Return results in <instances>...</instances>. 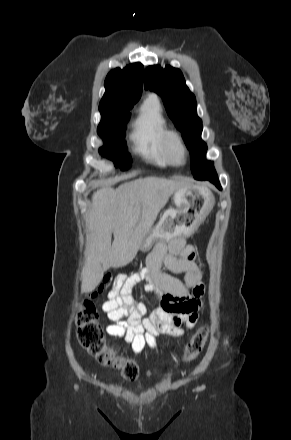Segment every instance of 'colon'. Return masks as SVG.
<instances>
[{
    "instance_id": "1",
    "label": "colon",
    "mask_w": 291,
    "mask_h": 440,
    "mask_svg": "<svg viewBox=\"0 0 291 440\" xmlns=\"http://www.w3.org/2000/svg\"><path fill=\"white\" fill-rule=\"evenodd\" d=\"M111 281V275L107 273L103 278V283ZM103 292V287H98L90 296L83 300L80 310L76 317L77 336L83 347L93 356L104 364H111L121 371L125 378L135 380L139 375L138 367L122 355L118 354L117 349L108 344L104 338L102 330L97 322L98 314L93 302L98 294ZM209 335V326H202L192 337L191 341L184 349L183 358L186 361L194 359L203 349Z\"/></svg>"
}]
</instances>
